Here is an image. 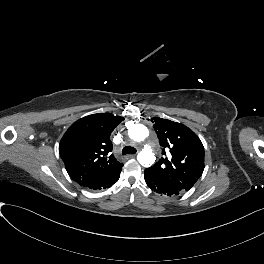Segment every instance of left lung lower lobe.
Here are the masks:
<instances>
[{
	"label": "left lung lower lobe",
	"mask_w": 264,
	"mask_h": 264,
	"mask_svg": "<svg viewBox=\"0 0 264 264\" xmlns=\"http://www.w3.org/2000/svg\"><path fill=\"white\" fill-rule=\"evenodd\" d=\"M145 182L152 191L156 192L159 195L171 197V196H177L181 194V192H179L178 190L172 187H169L165 185L164 183H162L161 181L155 178H152L146 174H145Z\"/></svg>",
	"instance_id": "0a47b994"
}]
</instances>
